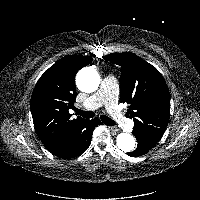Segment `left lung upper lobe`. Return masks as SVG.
<instances>
[{"instance_id": "1", "label": "left lung upper lobe", "mask_w": 200, "mask_h": 200, "mask_svg": "<svg viewBox=\"0 0 200 200\" xmlns=\"http://www.w3.org/2000/svg\"><path fill=\"white\" fill-rule=\"evenodd\" d=\"M103 59L121 67L120 98L130 104L133 132L160 140L170 117V93L160 72L131 52L111 53Z\"/></svg>"}]
</instances>
